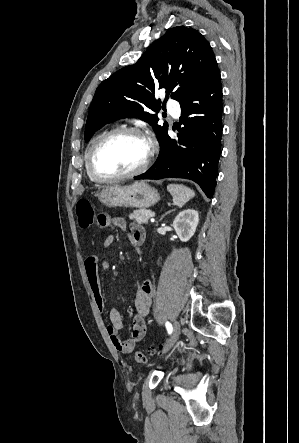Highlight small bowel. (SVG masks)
<instances>
[{"instance_id": "c3829d8e", "label": "small bowel", "mask_w": 299, "mask_h": 443, "mask_svg": "<svg viewBox=\"0 0 299 443\" xmlns=\"http://www.w3.org/2000/svg\"><path fill=\"white\" fill-rule=\"evenodd\" d=\"M97 225L100 228L117 227L120 230H126V222L120 217H113L109 214H100L97 217ZM131 236V243L135 245L136 242L142 243L145 238L144 228L137 224L131 223L129 225ZM115 240L114 235H109L103 243V248H108ZM109 270L110 263L106 259L99 258L92 255L85 261V272L87 276L88 285L93 294L97 308L103 312L106 307L105 298L101 290V282L99 277V270ZM154 284L152 279L145 280L139 287L135 294L134 306L136 313L133 318V329L131 335L127 339H122L119 332L123 328V321L120 312L117 308L111 307L108 310V317L110 324L106 327V331L111 339L114 348L120 353H130L134 350L136 344L142 340L146 333L145 318L149 315L152 298H153Z\"/></svg>"}]
</instances>
